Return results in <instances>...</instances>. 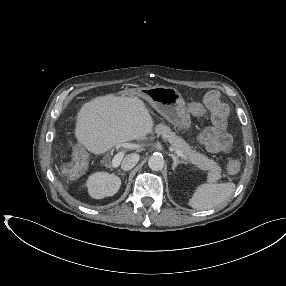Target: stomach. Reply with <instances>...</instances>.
I'll use <instances>...</instances> for the list:
<instances>
[{"mask_svg": "<svg viewBox=\"0 0 286 286\" xmlns=\"http://www.w3.org/2000/svg\"><path fill=\"white\" fill-rule=\"evenodd\" d=\"M138 95L178 129H190V113L177 89L166 86L145 87L139 89Z\"/></svg>", "mask_w": 286, "mask_h": 286, "instance_id": "stomach-1", "label": "stomach"}]
</instances>
